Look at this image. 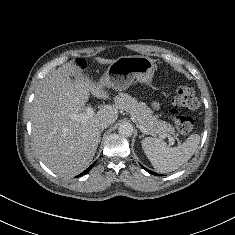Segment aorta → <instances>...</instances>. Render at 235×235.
Returning <instances> with one entry per match:
<instances>
[{
    "mask_svg": "<svg viewBox=\"0 0 235 235\" xmlns=\"http://www.w3.org/2000/svg\"><path fill=\"white\" fill-rule=\"evenodd\" d=\"M120 135L130 137L133 134V126L130 123H122L118 127Z\"/></svg>",
    "mask_w": 235,
    "mask_h": 235,
    "instance_id": "obj_1",
    "label": "aorta"
}]
</instances>
